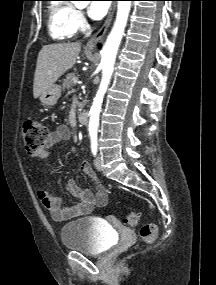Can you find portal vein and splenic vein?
<instances>
[{
	"label": "portal vein and splenic vein",
	"instance_id": "1",
	"mask_svg": "<svg viewBox=\"0 0 216 285\" xmlns=\"http://www.w3.org/2000/svg\"><path fill=\"white\" fill-rule=\"evenodd\" d=\"M73 82H74V83H78V78H74V79H73Z\"/></svg>",
	"mask_w": 216,
	"mask_h": 285
}]
</instances>
